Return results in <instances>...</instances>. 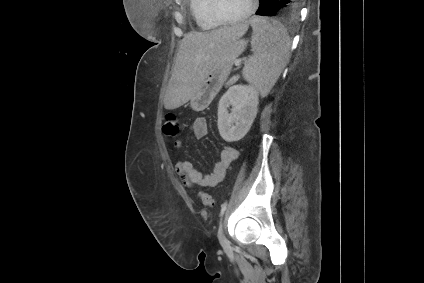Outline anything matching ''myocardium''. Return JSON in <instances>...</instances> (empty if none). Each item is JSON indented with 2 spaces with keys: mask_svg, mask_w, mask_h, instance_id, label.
Here are the masks:
<instances>
[{
  "mask_svg": "<svg viewBox=\"0 0 424 283\" xmlns=\"http://www.w3.org/2000/svg\"><path fill=\"white\" fill-rule=\"evenodd\" d=\"M256 8L257 0H250L249 8L245 13L236 18H226L219 11L218 0H208L207 5L210 18L216 23L223 25L236 24L247 20L255 12Z\"/></svg>",
  "mask_w": 424,
  "mask_h": 283,
  "instance_id": "1",
  "label": "myocardium"
}]
</instances>
